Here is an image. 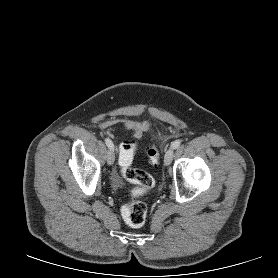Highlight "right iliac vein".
Listing matches in <instances>:
<instances>
[{"instance_id": "1", "label": "right iliac vein", "mask_w": 278, "mask_h": 278, "mask_svg": "<svg viewBox=\"0 0 278 278\" xmlns=\"http://www.w3.org/2000/svg\"><path fill=\"white\" fill-rule=\"evenodd\" d=\"M106 160L109 165H112L114 163L115 161L114 149H109V151L107 152Z\"/></svg>"}]
</instances>
